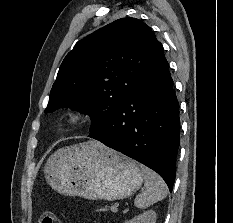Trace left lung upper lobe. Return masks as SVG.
Returning <instances> with one entry per match:
<instances>
[{"label":"left lung upper lobe","instance_id":"obj_1","mask_svg":"<svg viewBox=\"0 0 233 223\" xmlns=\"http://www.w3.org/2000/svg\"><path fill=\"white\" fill-rule=\"evenodd\" d=\"M161 45L136 18L118 19L89 34L63 60L45 112L70 107L88 114L93 136L128 100Z\"/></svg>","mask_w":233,"mask_h":223}]
</instances>
